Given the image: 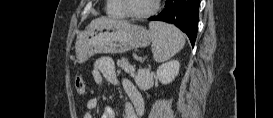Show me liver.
<instances>
[{
	"label": "liver",
	"mask_w": 273,
	"mask_h": 118,
	"mask_svg": "<svg viewBox=\"0 0 273 118\" xmlns=\"http://www.w3.org/2000/svg\"><path fill=\"white\" fill-rule=\"evenodd\" d=\"M112 22H114V20L109 19V18H97V19L91 21V23L88 25L87 29L97 27V26L107 25Z\"/></svg>",
	"instance_id": "liver-1"
}]
</instances>
